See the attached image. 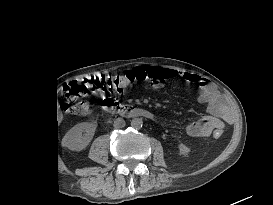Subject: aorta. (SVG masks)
Returning <instances> with one entry per match:
<instances>
[{
  "mask_svg": "<svg viewBox=\"0 0 273 205\" xmlns=\"http://www.w3.org/2000/svg\"><path fill=\"white\" fill-rule=\"evenodd\" d=\"M131 126L132 128L138 130L141 129L143 126L142 118H134L131 120Z\"/></svg>",
  "mask_w": 273,
  "mask_h": 205,
  "instance_id": "aorta-1",
  "label": "aorta"
}]
</instances>
